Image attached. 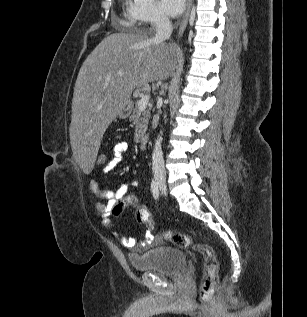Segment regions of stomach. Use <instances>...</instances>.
Returning a JSON list of instances; mask_svg holds the SVG:
<instances>
[{
  "label": "stomach",
  "mask_w": 307,
  "mask_h": 317,
  "mask_svg": "<svg viewBox=\"0 0 307 317\" xmlns=\"http://www.w3.org/2000/svg\"><path fill=\"white\" fill-rule=\"evenodd\" d=\"M131 111L132 102L130 100H127L120 105L117 116H119V118L121 119H125L130 115Z\"/></svg>",
  "instance_id": "stomach-1"
}]
</instances>
